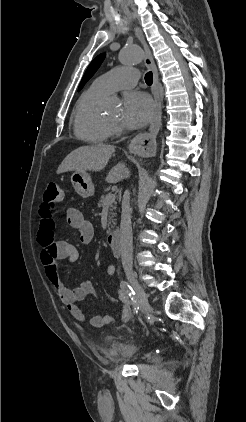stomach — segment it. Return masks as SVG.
I'll list each match as a JSON object with an SVG mask.
<instances>
[{
  "mask_svg": "<svg viewBox=\"0 0 246 422\" xmlns=\"http://www.w3.org/2000/svg\"><path fill=\"white\" fill-rule=\"evenodd\" d=\"M71 183L77 192L83 198L90 197L94 194V185L91 177L86 172H74L71 176Z\"/></svg>",
  "mask_w": 246,
  "mask_h": 422,
  "instance_id": "1",
  "label": "stomach"
}]
</instances>
